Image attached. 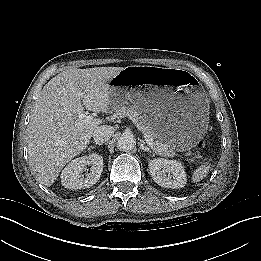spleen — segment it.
I'll use <instances>...</instances> for the list:
<instances>
[{"label": "spleen", "instance_id": "spleen-1", "mask_svg": "<svg viewBox=\"0 0 261 261\" xmlns=\"http://www.w3.org/2000/svg\"><path fill=\"white\" fill-rule=\"evenodd\" d=\"M209 170H210L209 164L201 165L193 172L192 181L199 182L200 180H202L207 176Z\"/></svg>", "mask_w": 261, "mask_h": 261}]
</instances>
